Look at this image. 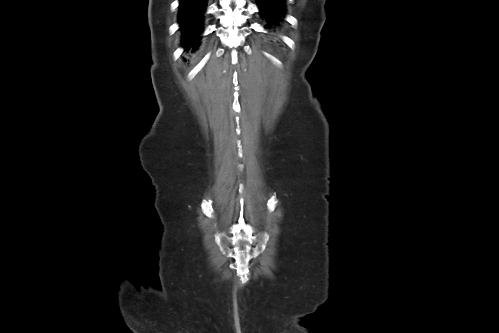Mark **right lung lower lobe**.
I'll list each match as a JSON object with an SVG mask.
<instances>
[{"label":"right lung lower lobe","instance_id":"98d812e1","mask_svg":"<svg viewBox=\"0 0 499 333\" xmlns=\"http://www.w3.org/2000/svg\"><path fill=\"white\" fill-rule=\"evenodd\" d=\"M206 0H180V27L184 32L185 44L194 45L201 31L202 9Z\"/></svg>","mask_w":499,"mask_h":333}]
</instances>
